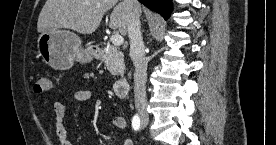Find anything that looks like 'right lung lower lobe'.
I'll use <instances>...</instances> for the list:
<instances>
[{"label": "right lung lower lobe", "instance_id": "obj_1", "mask_svg": "<svg viewBox=\"0 0 276 145\" xmlns=\"http://www.w3.org/2000/svg\"><path fill=\"white\" fill-rule=\"evenodd\" d=\"M148 8L161 14L168 19L172 10L171 0H138Z\"/></svg>", "mask_w": 276, "mask_h": 145}]
</instances>
